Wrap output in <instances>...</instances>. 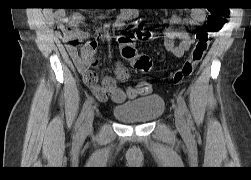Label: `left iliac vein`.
<instances>
[{
  "label": "left iliac vein",
  "instance_id": "1",
  "mask_svg": "<svg viewBox=\"0 0 251 180\" xmlns=\"http://www.w3.org/2000/svg\"><path fill=\"white\" fill-rule=\"evenodd\" d=\"M175 124L178 130L185 131L186 130V121L184 119L183 113L180 108H175Z\"/></svg>",
  "mask_w": 251,
  "mask_h": 180
}]
</instances>
